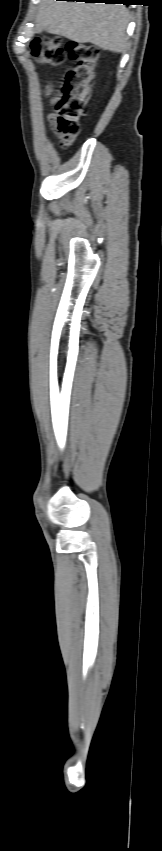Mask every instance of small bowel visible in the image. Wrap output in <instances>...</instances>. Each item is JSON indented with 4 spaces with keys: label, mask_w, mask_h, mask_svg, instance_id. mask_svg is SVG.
Returning <instances> with one entry per match:
<instances>
[{
    "label": "small bowel",
    "mask_w": 162,
    "mask_h": 851,
    "mask_svg": "<svg viewBox=\"0 0 162 851\" xmlns=\"http://www.w3.org/2000/svg\"><path fill=\"white\" fill-rule=\"evenodd\" d=\"M46 95H47V97H49V98H50V100H51V101H55V100L58 98V96H59V92H58L57 90H55L53 87L48 86V87H47V90H46ZM48 122L50 123V125H51V126H52V128H53V130H54V134H55V135H56V136L60 139L61 145H62L63 147H68V146H70V145L72 144V141H71V140H69V139H68L65 135H63L62 133H60V132L57 130V128H56V119H55L54 115H49V116H48Z\"/></svg>",
    "instance_id": "small-bowel-1"
}]
</instances>
